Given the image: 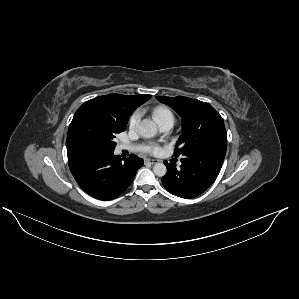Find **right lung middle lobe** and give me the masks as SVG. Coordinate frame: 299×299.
Returning a JSON list of instances; mask_svg holds the SVG:
<instances>
[{
	"label": "right lung middle lobe",
	"instance_id": "dd1d6c3e",
	"mask_svg": "<svg viewBox=\"0 0 299 299\" xmlns=\"http://www.w3.org/2000/svg\"><path fill=\"white\" fill-rule=\"evenodd\" d=\"M127 122L103 114H85L72 120L68 130L69 141L79 149L114 150L116 135L126 130Z\"/></svg>",
	"mask_w": 299,
	"mask_h": 299
}]
</instances>
